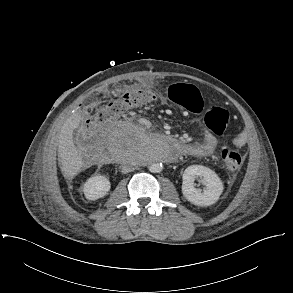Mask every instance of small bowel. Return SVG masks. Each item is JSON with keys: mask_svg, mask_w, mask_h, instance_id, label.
<instances>
[{"mask_svg": "<svg viewBox=\"0 0 293 293\" xmlns=\"http://www.w3.org/2000/svg\"><path fill=\"white\" fill-rule=\"evenodd\" d=\"M144 126L148 125V122H143ZM246 143L245 135L239 134L232 140V144L236 147H242ZM217 146V139L210 133H206L201 141L188 144V150L186 154L197 157H205L211 155Z\"/></svg>", "mask_w": 293, "mask_h": 293, "instance_id": "c3829d8e", "label": "small bowel"}]
</instances>
